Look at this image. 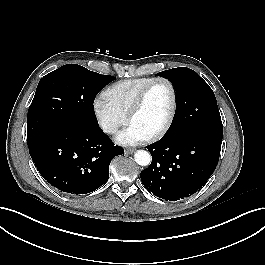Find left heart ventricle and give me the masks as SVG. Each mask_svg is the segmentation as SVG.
Instances as JSON below:
<instances>
[{"label":"left heart ventricle","instance_id":"1","mask_svg":"<svg viewBox=\"0 0 265 265\" xmlns=\"http://www.w3.org/2000/svg\"><path fill=\"white\" fill-rule=\"evenodd\" d=\"M171 92L168 85L158 82L149 90L140 111L133 117L131 124L147 136L158 131L165 123L171 108Z\"/></svg>","mask_w":265,"mask_h":265}]
</instances>
